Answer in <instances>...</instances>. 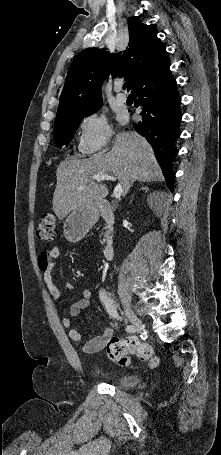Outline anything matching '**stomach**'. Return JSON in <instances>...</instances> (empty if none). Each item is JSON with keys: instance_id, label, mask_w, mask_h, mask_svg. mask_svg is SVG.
I'll use <instances>...</instances> for the list:
<instances>
[{"instance_id": "stomach-1", "label": "stomach", "mask_w": 221, "mask_h": 455, "mask_svg": "<svg viewBox=\"0 0 221 455\" xmlns=\"http://www.w3.org/2000/svg\"><path fill=\"white\" fill-rule=\"evenodd\" d=\"M100 216L99 202L81 205L72 210L63 222V234L71 243L79 242Z\"/></svg>"}]
</instances>
